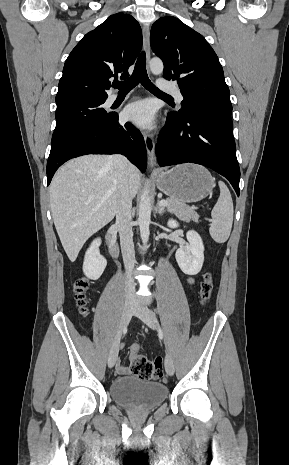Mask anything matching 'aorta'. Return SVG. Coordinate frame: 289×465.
Returning <instances> with one entry per match:
<instances>
[{
	"label": "aorta",
	"instance_id": "obj_1",
	"mask_svg": "<svg viewBox=\"0 0 289 465\" xmlns=\"http://www.w3.org/2000/svg\"><path fill=\"white\" fill-rule=\"evenodd\" d=\"M150 70L154 75H160L163 72L164 65L159 58H153L150 61ZM151 219V198L149 196V190L147 187L144 188L141 195V200L139 204V227H140V236L143 244H147L149 240V225Z\"/></svg>",
	"mask_w": 289,
	"mask_h": 465
}]
</instances>
